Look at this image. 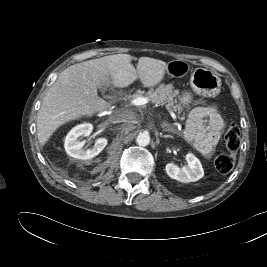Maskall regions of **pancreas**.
Here are the masks:
<instances>
[{
  "label": "pancreas",
  "mask_w": 267,
  "mask_h": 267,
  "mask_svg": "<svg viewBox=\"0 0 267 267\" xmlns=\"http://www.w3.org/2000/svg\"><path fill=\"white\" fill-rule=\"evenodd\" d=\"M150 101L158 105H166L168 109L177 112L179 115L183 112V107L174 97L177 96L178 90H174L172 86L160 85L156 90H150L148 93ZM181 120L185 119V114L180 116Z\"/></svg>",
  "instance_id": "cf45deb5"
}]
</instances>
